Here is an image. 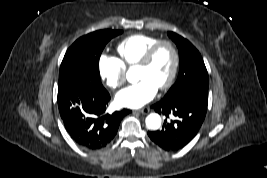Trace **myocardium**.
<instances>
[{
    "label": "myocardium",
    "mask_w": 267,
    "mask_h": 178,
    "mask_svg": "<svg viewBox=\"0 0 267 178\" xmlns=\"http://www.w3.org/2000/svg\"><path fill=\"white\" fill-rule=\"evenodd\" d=\"M163 46H168L171 50L173 56V64L167 80L158 87L159 90L168 89L173 84L178 72V68L180 65V54L174 41L170 39H163L158 41L147 50V52L137 64L138 67H147L148 65H150L157 51Z\"/></svg>",
    "instance_id": "1"
}]
</instances>
